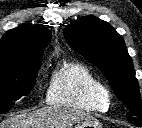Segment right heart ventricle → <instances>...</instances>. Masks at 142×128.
I'll return each instance as SVG.
<instances>
[{"label": "right heart ventricle", "instance_id": "1", "mask_svg": "<svg viewBox=\"0 0 142 128\" xmlns=\"http://www.w3.org/2000/svg\"><path fill=\"white\" fill-rule=\"evenodd\" d=\"M47 102L77 110L106 112L111 97L107 86L84 63L65 61L58 65L50 78Z\"/></svg>", "mask_w": 142, "mask_h": 128}]
</instances>
